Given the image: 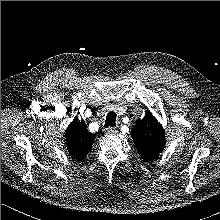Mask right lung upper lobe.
Segmentation results:
<instances>
[{
  "label": "right lung upper lobe",
  "mask_w": 220,
  "mask_h": 220,
  "mask_svg": "<svg viewBox=\"0 0 220 220\" xmlns=\"http://www.w3.org/2000/svg\"><path fill=\"white\" fill-rule=\"evenodd\" d=\"M95 134L88 132L85 122L75 118L67 127L65 141L73 159L82 160L92 149Z\"/></svg>",
  "instance_id": "right-lung-upper-lobe-1"
}]
</instances>
